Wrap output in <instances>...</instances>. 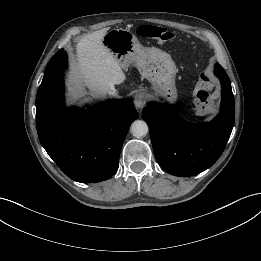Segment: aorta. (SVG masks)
Returning <instances> with one entry per match:
<instances>
[{
  "label": "aorta",
  "mask_w": 261,
  "mask_h": 261,
  "mask_svg": "<svg viewBox=\"0 0 261 261\" xmlns=\"http://www.w3.org/2000/svg\"><path fill=\"white\" fill-rule=\"evenodd\" d=\"M131 133L133 136L140 138L148 133V125L143 120H136L131 125Z\"/></svg>",
  "instance_id": "obj_1"
}]
</instances>
